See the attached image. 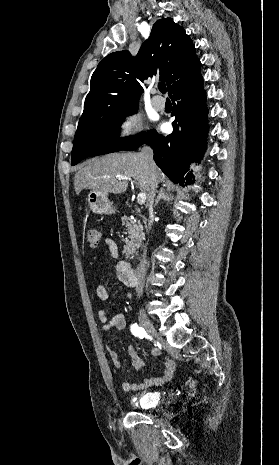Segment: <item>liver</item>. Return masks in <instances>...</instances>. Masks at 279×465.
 I'll list each match as a JSON object with an SVG mask.
<instances>
[{"instance_id": "obj_1", "label": "liver", "mask_w": 279, "mask_h": 465, "mask_svg": "<svg viewBox=\"0 0 279 465\" xmlns=\"http://www.w3.org/2000/svg\"><path fill=\"white\" fill-rule=\"evenodd\" d=\"M158 182H164V175L156 167ZM118 176L133 177L142 193L146 194L147 205L150 193V174L140 153H112L87 161L75 174L76 194L84 189L104 194H121L127 190V180H118Z\"/></svg>"}]
</instances>
